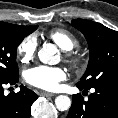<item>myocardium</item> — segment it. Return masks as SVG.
<instances>
[{
	"label": "myocardium",
	"instance_id": "myocardium-1",
	"mask_svg": "<svg viewBox=\"0 0 118 118\" xmlns=\"http://www.w3.org/2000/svg\"><path fill=\"white\" fill-rule=\"evenodd\" d=\"M66 59L73 65H78L81 61L80 59L73 56V54L69 51L66 52Z\"/></svg>",
	"mask_w": 118,
	"mask_h": 118
}]
</instances>
